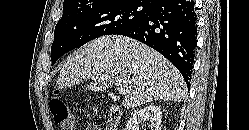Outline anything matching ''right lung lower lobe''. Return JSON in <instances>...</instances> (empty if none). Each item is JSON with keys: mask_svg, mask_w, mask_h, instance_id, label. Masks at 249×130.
Instances as JSON below:
<instances>
[{"mask_svg": "<svg viewBox=\"0 0 249 130\" xmlns=\"http://www.w3.org/2000/svg\"><path fill=\"white\" fill-rule=\"evenodd\" d=\"M196 9L192 0H158L144 20L119 35L160 52L180 71L189 87L197 41Z\"/></svg>", "mask_w": 249, "mask_h": 130, "instance_id": "obj_1", "label": "right lung lower lobe"}]
</instances>
